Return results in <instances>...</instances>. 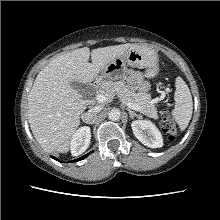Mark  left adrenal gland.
Here are the masks:
<instances>
[{"label":"left adrenal gland","mask_w":220,"mask_h":220,"mask_svg":"<svg viewBox=\"0 0 220 220\" xmlns=\"http://www.w3.org/2000/svg\"><path fill=\"white\" fill-rule=\"evenodd\" d=\"M127 111H128V113H129V115H130L131 118H134L135 116H136V117H139L138 114H136L135 112H133V111L130 110L129 108L127 109Z\"/></svg>","instance_id":"left-adrenal-gland-1"}]
</instances>
